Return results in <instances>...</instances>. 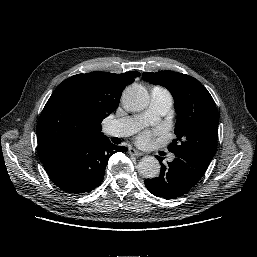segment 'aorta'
I'll return each mask as SVG.
<instances>
[{"instance_id":"1","label":"aorta","mask_w":257,"mask_h":257,"mask_svg":"<svg viewBox=\"0 0 257 257\" xmlns=\"http://www.w3.org/2000/svg\"><path fill=\"white\" fill-rule=\"evenodd\" d=\"M122 102L127 110L140 111L148 106L149 94L143 86L133 84L123 91ZM137 168L144 178H155L160 173V164L153 156L143 157Z\"/></svg>"}]
</instances>
